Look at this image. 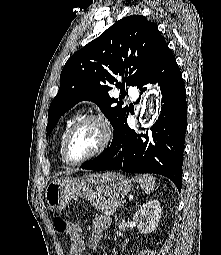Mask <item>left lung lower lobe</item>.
Here are the masks:
<instances>
[{
  "instance_id": "left-lung-lower-lobe-1",
  "label": "left lung lower lobe",
  "mask_w": 221,
  "mask_h": 255,
  "mask_svg": "<svg viewBox=\"0 0 221 255\" xmlns=\"http://www.w3.org/2000/svg\"><path fill=\"white\" fill-rule=\"evenodd\" d=\"M148 83H158L163 95L161 113L151 132L136 135L127 124V114L114 130L110 147L81 168L160 174L171 179L181 191L187 102L181 72L168 46L141 86L140 94Z\"/></svg>"
}]
</instances>
